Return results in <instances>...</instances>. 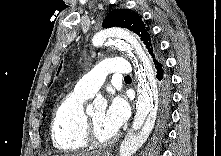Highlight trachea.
<instances>
[{"label":"trachea","instance_id":"1","mask_svg":"<svg viewBox=\"0 0 221 156\" xmlns=\"http://www.w3.org/2000/svg\"><path fill=\"white\" fill-rule=\"evenodd\" d=\"M125 78H130V76H125Z\"/></svg>","mask_w":221,"mask_h":156}]
</instances>
